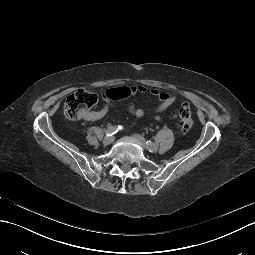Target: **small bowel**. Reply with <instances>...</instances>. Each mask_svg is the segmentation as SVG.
I'll return each instance as SVG.
<instances>
[{
	"instance_id": "obj_1",
	"label": "small bowel",
	"mask_w": 255,
	"mask_h": 255,
	"mask_svg": "<svg viewBox=\"0 0 255 255\" xmlns=\"http://www.w3.org/2000/svg\"><path fill=\"white\" fill-rule=\"evenodd\" d=\"M133 93H149L153 97L158 99V106L154 109V119L160 120V113L166 110L167 108L172 107L176 102V97L166 91L159 90L157 88L147 89L143 86L131 87ZM111 105L106 101L102 107L98 110L87 111L81 118L86 121H95L103 118L110 111ZM126 112L135 118H143L146 115V110L142 108L135 109L132 103H128L125 107Z\"/></svg>"
}]
</instances>
